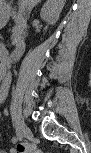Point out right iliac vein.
Listing matches in <instances>:
<instances>
[{"mask_svg":"<svg viewBox=\"0 0 91 153\" xmlns=\"http://www.w3.org/2000/svg\"><path fill=\"white\" fill-rule=\"evenodd\" d=\"M15 118L17 120V127L22 133V135L27 139H31L32 138L31 130L27 127L23 119L16 112H15Z\"/></svg>","mask_w":91,"mask_h":153,"instance_id":"1","label":"right iliac vein"}]
</instances>
